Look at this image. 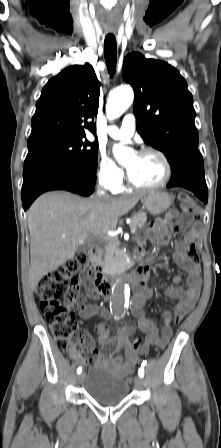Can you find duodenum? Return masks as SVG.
<instances>
[{"label": "duodenum", "mask_w": 221, "mask_h": 448, "mask_svg": "<svg viewBox=\"0 0 221 448\" xmlns=\"http://www.w3.org/2000/svg\"><path fill=\"white\" fill-rule=\"evenodd\" d=\"M89 267L93 274V281L91 287L95 290L97 295L101 297L108 296L111 292V289L115 283V277L111 273H105L98 262V257L95 251H91L90 255ZM133 270L129 277V282L134 287L142 286L144 283L142 267H132Z\"/></svg>", "instance_id": "1"}]
</instances>
